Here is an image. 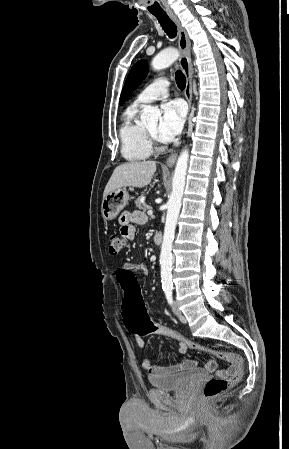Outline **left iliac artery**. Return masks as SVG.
Instances as JSON below:
<instances>
[{
  "instance_id": "obj_1",
  "label": "left iliac artery",
  "mask_w": 289,
  "mask_h": 449,
  "mask_svg": "<svg viewBox=\"0 0 289 449\" xmlns=\"http://www.w3.org/2000/svg\"><path fill=\"white\" fill-rule=\"evenodd\" d=\"M165 295L168 303L171 305L173 303V297H172V289H166Z\"/></svg>"
}]
</instances>
